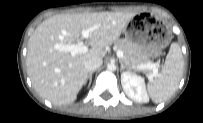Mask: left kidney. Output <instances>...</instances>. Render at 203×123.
<instances>
[{"label":"left kidney","instance_id":"left-kidney-1","mask_svg":"<svg viewBox=\"0 0 203 123\" xmlns=\"http://www.w3.org/2000/svg\"><path fill=\"white\" fill-rule=\"evenodd\" d=\"M121 84L126 95L139 103H147L149 97L145 87L144 79L130 71L121 74Z\"/></svg>","mask_w":203,"mask_h":123}]
</instances>
